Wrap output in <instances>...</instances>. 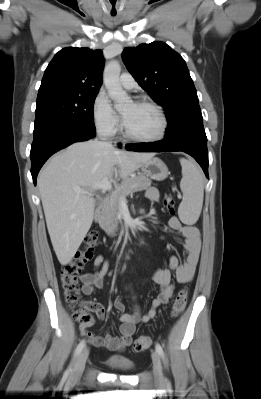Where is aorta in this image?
Wrapping results in <instances>:
<instances>
[{
    "label": "aorta",
    "mask_w": 261,
    "mask_h": 399,
    "mask_svg": "<svg viewBox=\"0 0 261 399\" xmlns=\"http://www.w3.org/2000/svg\"><path fill=\"white\" fill-rule=\"evenodd\" d=\"M120 63L116 60L110 61L104 70V83L107 88L108 94L114 102L117 110L122 109L124 106L131 102L130 97L123 90L120 83Z\"/></svg>",
    "instance_id": "obj_1"
}]
</instances>
